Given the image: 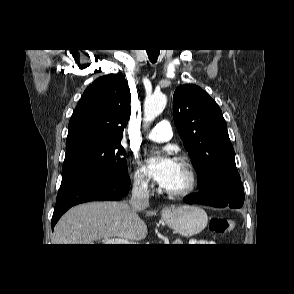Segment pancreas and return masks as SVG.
Wrapping results in <instances>:
<instances>
[{
  "label": "pancreas",
  "mask_w": 294,
  "mask_h": 294,
  "mask_svg": "<svg viewBox=\"0 0 294 294\" xmlns=\"http://www.w3.org/2000/svg\"><path fill=\"white\" fill-rule=\"evenodd\" d=\"M173 244H178L177 242H174Z\"/></svg>",
  "instance_id": "cf45deb5"
}]
</instances>
